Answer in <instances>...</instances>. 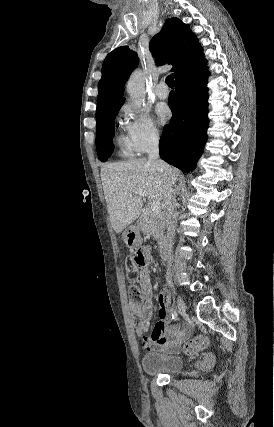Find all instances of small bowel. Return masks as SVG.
I'll list each match as a JSON object with an SVG mask.
<instances>
[{
    "label": "small bowel",
    "mask_w": 274,
    "mask_h": 427,
    "mask_svg": "<svg viewBox=\"0 0 274 427\" xmlns=\"http://www.w3.org/2000/svg\"><path fill=\"white\" fill-rule=\"evenodd\" d=\"M146 256V262L139 269L136 282L142 292L143 303L139 310L138 321L136 322V333L140 337L142 349L145 352L158 351L168 354H177L180 352L183 343L190 336V329L184 328L174 333H167V323L170 320L169 297L166 292H162L158 297V315L160 321L155 325L149 337L145 333L151 325L153 313V287L151 275L148 268V262L151 257L150 249L142 250Z\"/></svg>",
    "instance_id": "small-bowel-1"
}]
</instances>
